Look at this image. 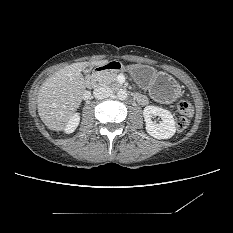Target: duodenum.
<instances>
[{
	"instance_id": "1",
	"label": "duodenum",
	"mask_w": 233,
	"mask_h": 233,
	"mask_svg": "<svg viewBox=\"0 0 233 233\" xmlns=\"http://www.w3.org/2000/svg\"><path fill=\"white\" fill-rule=\"evenodd\" d=\"M121 68L120 63L118 62H104L96 66L91 73L87 76V84L90 87L96 86V78L95 76L100 73H104L107 71H119ZM135 98H138V95L135 94Z\"/></svg>"
}]
</instances>
